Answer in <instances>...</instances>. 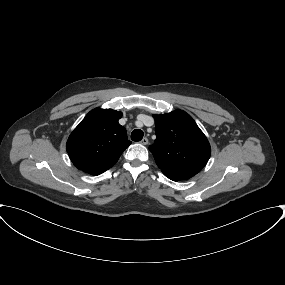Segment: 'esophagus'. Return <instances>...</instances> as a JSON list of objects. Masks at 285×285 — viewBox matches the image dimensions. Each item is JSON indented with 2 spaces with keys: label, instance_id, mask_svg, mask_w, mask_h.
<instances>
[{
  "label": "esophagus",
  "instance_id": "esophagus-1",
  "mask_svg": "<svg viewBox=\"0 0 285 285\" xmlns=\"http://www.w3.org/2000/svg\"><path fill=\"white\" fill-rule=\"evenodd\" d=\"M140 143H141L142 145H147V144H148V139H147L146 137H144V138L140 141Z\"/></svg>",
  "mask_w": 285,
  "mask_h": 285
}]
</instances>
